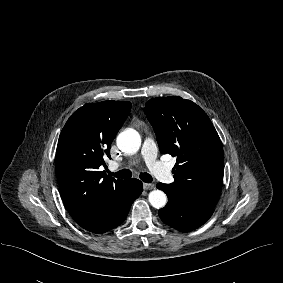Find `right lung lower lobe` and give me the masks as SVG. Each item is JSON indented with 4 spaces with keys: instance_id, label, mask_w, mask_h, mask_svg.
<instances>
[{
    "instance_id": "obj_1",
    "label": "right lung lower lobe",
    "mask_w": 283,
    "mask_h": 283,
    "mask_svg": "<svg viewBox=\"0 0 283 283\" xmlns=\"http://www.w3.org/2000/svg\"><path fill=\"white\" fill-rule=\"evenodd\" d=\"M142 182L137 179L128 180L127 190L116 200L113 206L101 218L82 228L93 233H104L118 225L126 218L131 204L142 193Z\"/></svg>"
}]
</instances>
